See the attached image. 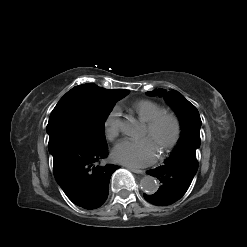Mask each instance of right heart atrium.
Returning a JSON list of instances; mask_svg holds the SVG:
<instances>
[{
    "mask_svg": "<svg viewBox=\"0 0 247 247\" xmlns=\"http://www.w3.org/2000/svg\"><path fill=\"white\" fill-rule=\"evenodd\" d=\"M120 116V107L114 106L105 117L103 130L106 139L109 141H114L120 133Z\"/></svg>",
    "mask_w": 247,
    "mask_h": 247,
    "instance_id": "right-heart-atrium-1",
    "label": "right heart atrium"
}]
</instances>
